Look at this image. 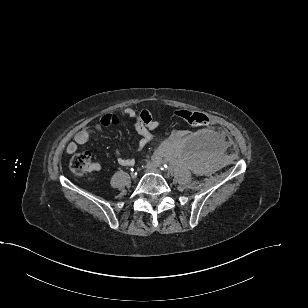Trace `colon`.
<instances>
[{
	"instance_id": "5ec220e1",
	"label": "colon",
	"mask_w": 308,
	"mask_h": 308,
	"mask_svg": "<svg viewBox=\"0 0 308 308\" xmlns=\"http://www.w3.org/2000/svg\"><path fill=\"white\" fill-rule=\"evenodd\" d=\"M175 115L192 127H205L209 124V118L201 112L177 110ZM70 168L77 175L87 173L91 168L90 154L88 152L74 153L70 159Z\"/></svg>"
}]
</instances>
